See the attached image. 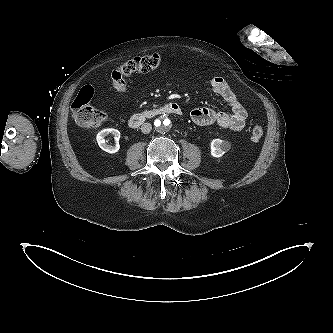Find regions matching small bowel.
Masks as SVG:
<instances>
[{"label": "small bowel", "mask_w": 333, "mask_h": 333, "mask_svg": "<svg viewBox=\"0 0 333 333\" xmlns=\"http://www.w3.org/2000/svg\"><path fill=\"white\" fill-rule=\"evenodd\" d=\"M210 88L227 102L231 111H216L210 107L195 108L190 112L192 121L199 126L216 124L235 132L241 131L245 126L247 112L228 82L222 77H214L210 81Z\"/></svg>", "instance_id": "1"}]
</instances>
